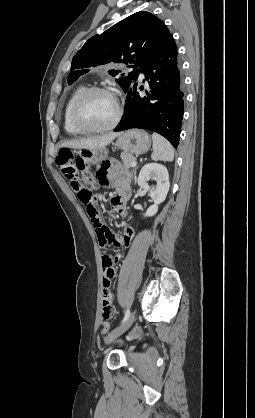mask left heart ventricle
I'll return each instance as SVG.
<instances>
[{
  "label": "left heart ventricle",
  "mask_w": 255,
  "mask_h": 418,
  "mask_svg": "<svg viewBox=\"0 0 255 418\" xmlns=\"http://www.w3.org/2000/svg\"><path fill=\"white\" fill-rule=\"evenodd\" d=\"M115 111V102L110 96L103 93H94L84 101L80 119L87 126L102 127L112 121Z\"/></svg>",
  "instance_id": "b2bd125f"
}]
</instances>
